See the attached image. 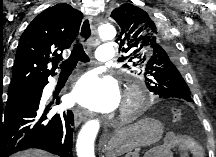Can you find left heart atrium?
Instances as JSON below:
<instances>
[{"label": "left heart atrium", "instance_id": "1", "mask_svg": "<svg viewBox=\"0 0 216 157\" xmlns=\"http://www.w3.org/2000/svg\"><path fill=\"white\" fill-rule=\"evenodd\" d=\"M68 101L91 111L108 112L117 107L120 95L117 85L110 78L89 73L74 85Z\"/></svg>", "mask_w": 216, "mask_h": 157}]
</instances>
